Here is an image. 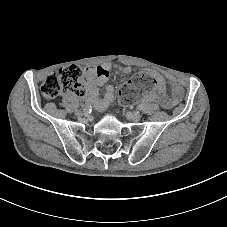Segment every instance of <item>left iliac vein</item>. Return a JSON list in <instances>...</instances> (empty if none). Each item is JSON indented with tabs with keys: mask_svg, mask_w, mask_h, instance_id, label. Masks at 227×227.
<instances>
[{
	"mask_svg": "<svg viewBox=\"0 0 227 227\" xmlns=\"http://www.w3.org/2000/svg\"><path fill=\"white\" fill-rule=\"evenodd\" d=\"M126 117L131 121H139L142 115L139 112H127Z\"/></svg>",
	"mask_w": 227,
	"mask_h": 227,
	"instance_id": "4c4485c4",
	"label": "left iliac vein"
}]
</instances>
